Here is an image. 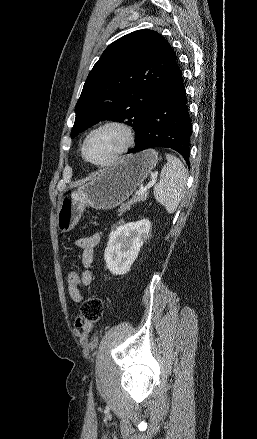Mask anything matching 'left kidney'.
Instances as JSON below:
<instances>
[{"label": "left kidney", "mask_w": 257, "mask_h": 439, "mask_svg": "<svg viewBox=\"0 0 257 439\" xmlns=\"http://www.w3.org/2000/svg\"><path fill=\"white\" fill-rule=\"evenodd\" d=\"M151 222L143 219L112 229L104 252L106 267L113 275L126 274L149 237Z\"/></svg>", "instance_id": "obj_1"}]
</instances>
